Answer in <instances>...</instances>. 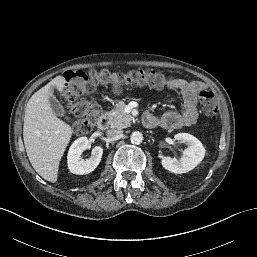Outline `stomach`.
<instances>
[{
    "label": "stomach",
    "mask_w": 257,
    "mask_h": 257,
    "mask_svg": "<svg viewBox=\"0 0 257 257\" xmlns=\"http://www.w3.org/2000/svg\"><path fill=\"white\" fill-rule=\"evenodd\" d=\"M114 92H115L116 94H119V93H120V90H119L118 88H115V89H114Z\"/></svg>",
    "instance_id": "1"
}]
</instances>
